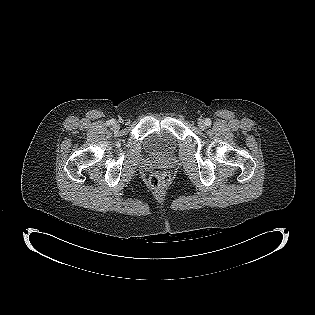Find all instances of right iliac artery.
Wrapping results in <instances>:
<instances>
[{
    "mask_svg": "<svg viewBox=\"0 0 315 315\" xmlns=\"http://www.w3.org/2000/svg\"><path fill=\"white\" fill-rule=\"evenodd\" d=\"M114 123H115V120H114V119H111V120H109V121L107 122L108 125H112V124H114Z\"/></svg>",
    "mask_w": 315,
    "mask_h": 315,
    "instance_id": "1",
    "label": "right iliac artery"
}]
</instances>
